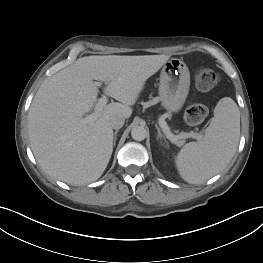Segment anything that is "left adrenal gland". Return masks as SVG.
Returning <instances> with one entry per match:
<instances>
[{
    "mask_svg": "<svg viewBox=\"0 0 263 263\" xmlns=\"http://www.w3.org/2000/svg\"><path fill=\"white\" fill-rule=\"evenodd\" d=\"M155 127H156L157 132H158L157 139H160V140L164 139L166 141L165 136L161 133L159 126L156 124Z\"/></svg>",
    "mask_w": 263,
    "mask_h": 263,
    "instance_id": "1",
    "label": "left adrenal gland"
}]
</instances>
